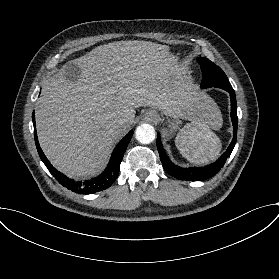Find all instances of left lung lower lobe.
<instances>
[{
  "label": "left lung lower lobe",
  "mask_w": 279,
  "mask_h": 279,
  "mask_svg": "<svg viewBox=\"0 0 279 279\" xmlns=\"http://www.w3.org/2000/svg\"><path fill=\"white\" fill-rule=\"evenodd\" d=\"M230 94L231 98V120L233 123V139L227 148L226 152L223 153L220 158L215 161L214 163H211L210 165H207L205 167L201 168H181L176 165H174L166 155L161 141L160 136L157 135V148L160 155V159L163 165V168L165 171L180 180H186V181H203L206 179H209L216 175L220 169L224 166L227 158L231 155L234 146L236 144L237 139V126H238V118H237V103H236V96L233 88H227L225 89Z\"/></svg>",
  "instance_id": "left-lung-lower-lobe-1"
}]
</instances>
